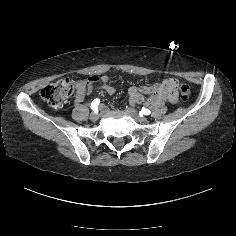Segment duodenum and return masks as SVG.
<instances>
[{
    "label": "duodenum",
    "mask_w": 236,
    "mask_h": 236,
    "mask_svg": "<svg viewBox=\"0 0 236 236\" xmlns=\"http://www.w3.org/2000/svg\"><path fill=\"white\" fill-rule=\"evenodd\" d=\"M175 99L173 92V85L169 82H165L159 87L150 98L147 99L148 104H152L157 100H166L173 102Z\"/></svg>",
    "instance_id": "410a0bca"
}]
</instances>
